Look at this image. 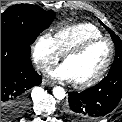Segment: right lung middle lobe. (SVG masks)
Segmentation results:
<instances>
[{
    "label": "right lung middle lobe",
    "instance_id": "right-lung-middle-lobe-1",
    "mask_svg": "<svg viewBox=\"0 0 122 122\" xmlns=\"http://www.w3.org/2000/svg\"><path fill=\"white\" fill-rule=\"evenodd\" d=\"M54 18L55 12L39 6L14 5L1 14V36H14L31 45Z\"/></svg>",
    "mask_w": 122,
    "mask_h": 122
}]
</instances>
